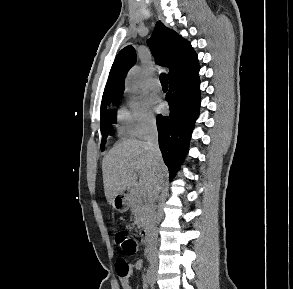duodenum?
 <instances>
[{"label": "duodenum", "instance_id": "410a0bca", "mask_svg": "<svg viewBox=\"0 0 293 289\" xmlns=\"http://www.w3.org/2000/svg\"><path fill=\"white\" fill-rule=\"evenodd\" d=\"M150 236H151V226L149 224H146L142 229H141V239L142 242L147 245L150 241Z\"/></svg>", "mask_w": 293, "mask_h": 289}]
</instances>
